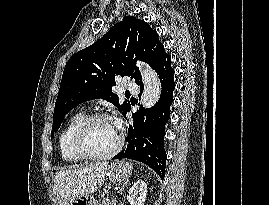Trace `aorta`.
I'll list each match as a JSON object with an SVG mask.
<instances>
[{
  "mask_svg": "<svg viewBox=\"0 0 269 205\" xmlns=\"http://www.w3.org/2000/svg\"><path fill=\"white\" fill-rule=\"evenodd\" d=\"M141 72L142 81L144 85L143 94L141 97V104L144 108L153 107L159 100L161 95V82L155 71L149 66L138 64Z\"/></svg>",
  "mask_w": 269,
  "mask_h": 205,
  "instance_id": "1",
  "label": "aorta"
}]
</instances>
